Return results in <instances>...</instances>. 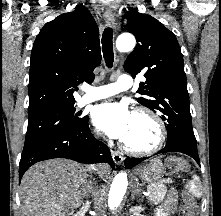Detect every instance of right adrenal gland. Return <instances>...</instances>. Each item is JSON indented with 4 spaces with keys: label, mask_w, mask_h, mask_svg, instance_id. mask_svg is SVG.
Returning a JSON list of instances; mask_svg holds the SVG:
<instances>
[{
    "label": "right adrenal gland",
    "mask_w": 221,
    "mask_h": 216,
    "mask_svg": "<svg viewBox=\"0 0 221 216\" xmlns=\"http://www.w3.org/2000/svg\"><path fill=\"white\" fill-rule=\"evenodd\" d=\"M90 193H91V187L88 186V190H87V194H86V197H87V198L90 196Z\"/></svg>",
    "instance_id": "1"
}]
</instances>
